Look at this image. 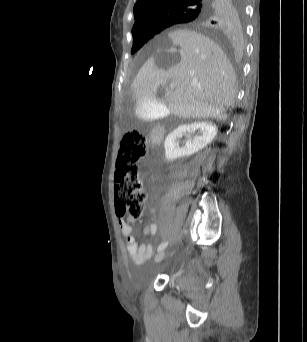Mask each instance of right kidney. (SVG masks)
<instances>
[{
  "label": "right kidney",
  "mask_w": 307,
  "mask_h": 342,
  "mask_svg": "<svg viewBox=\"0 0 307 342\" xmlns=\"http://www.w3.org/2000/svg\"><path fill=\"white\" fill-rule=\"evenodd\" d=\"M195 130H200L201 136H195L193 140L186 142L184 148H179V144L176 142L177 138H182L186 132H195ZM217 132V126L212 122H194L189 126H179V128L168 134L164 142L166 160L173 162V160L182 158V156H192V154L210 144Z\"/></svg>",
  "instance_id": "1"
}]
</instances>
